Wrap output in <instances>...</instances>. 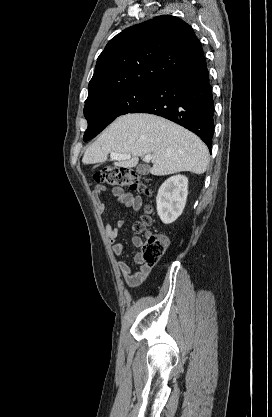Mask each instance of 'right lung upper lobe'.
<instances>
[{"mask_svg":"<svg viewBox=\"0 0 272 417\" xmlns=\"http://www.w3.org/2000/svg\"><path fill=\"white\" fill-rule=\"evenodd\" d=\"M201 54L193 29L177 17L162 15L131 26L99 55L86 103L122 89L160 84Z\"/></svg>","mask_w":272,"mask_h":417,"instance_id":"cb5924a9","label":"right lung upper lobe"}]
</instances>
